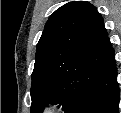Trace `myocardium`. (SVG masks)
Segmentation results:
<instances>
[{
  "mask_svg": "<svg viewBox=\"0 0 121 113\" xmlns=\"http://www.w3.org/2000/svg\"><path fill=\"white\" fill-rule=\"evenodd\" d=\"M55 110H56V107L52 105H48L44 108L45 113H53Z\"/></svg>",
  "mask_w": 121,
  "mask_h": 113,
  "instance_id": "1",
  "label": "myocardium"
}]
</instances>
